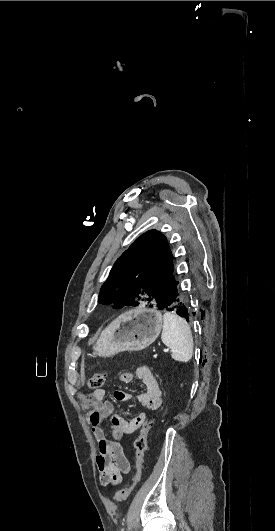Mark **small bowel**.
I'll list each match as a JSON object with an SVG mask.
<instances>
[{
    "instance_id": "obj_1",
    "label": "small bowel",
    "mask_w": 275,
    "mask_h": 531,
    "mask_svg": "<svg viewBox=\"0 0 275 531\" xmlns=\"http://www.w3.org/2000/svg\"><path fill=\"white\" fill-rule=\"evenodd\" d=\"M135 376L144 384L145 391L137 395L124 393L121 396L122 401L136 399L150 411L159 410L162 406V391L155 375L147 366H141L137 368ZM133 378L131 372H123L119 376V381L129 384ZM105 398V389L95 390L86 397L85 400L89 405L87 422L90 424L92 434L97 442L96 464L101 483L103 485H117L122 481L123 476L129 473L131 467L129 456L119 441L142 427V419L148 416L145 412H140L131 420H125L115 413L113 402ZM108 418H110L108 429L111 438L106 435Z\"/></svg>"
}]
</instances>
